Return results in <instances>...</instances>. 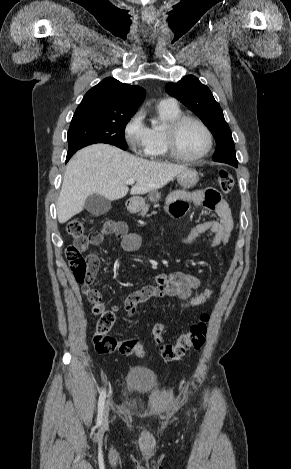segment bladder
Wrapping results in <instances>:
<instances>
[{
	"label": "bladder",
	"instance_id": "31cf9c89",
	"mask_svg": "<svg viewBox=\"0 0 291 469\" xmlns=\"http://www.w3.org/2000/svg\"><path fill=\"white\" fill-rule=\"evenodd\" d=\"M158 389V377L150 369L133 367L128 371L125 380V396L127 398L151 393Z\"/></svg>",
	"mask_w": 291,
	"mask_h": 469
}]
</instances>
